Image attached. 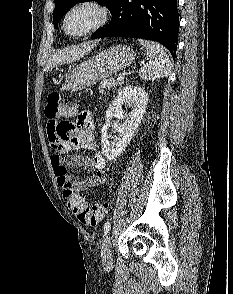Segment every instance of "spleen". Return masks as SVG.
<instances>
[{"mask_svg": "<svg viewBox=\"0 0 233 294\" xmlns=\"http://www.w3.org/2000/svg\"><path fill=\"white\" fill-rule=\"evenodd\" d=\"M139 43L146 48L148 63L139 70L143 80H154L168 77L171 73V62L165 48L159 43L139 39Z\"/></svg>", "mask_w": 233, "mask_h": 294, "instance_id": "1", "label": "spleen"}]
</instances>
